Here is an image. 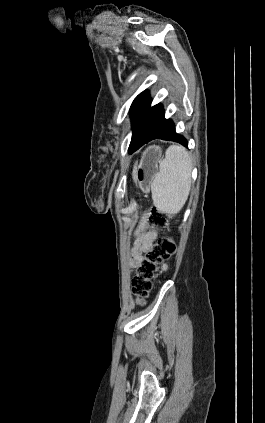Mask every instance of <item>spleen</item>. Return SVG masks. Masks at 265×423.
<instances>
[{"label": "spleen", "mask_w": 265, "mask_h": 423, "mask_svg": "<svg viewBox=\"0 0 265 423\" xmlns=\"http://www.w3.org/2000/svg\"><path fill=\"white\" fill-rule=\"evenodd\" d=\"M159 168L151 183L153 204L162 213L177 214L190 193L191 157L182 146L171 145Z\"/></svg>", "instance_id": "3e777b00"}]
</instances>
